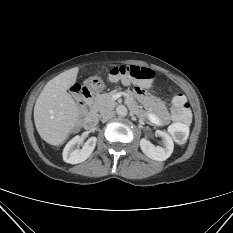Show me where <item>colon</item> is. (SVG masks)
<instances>
[{"label": "colon", "mask_w": 233, "mask_h": 233, "mask_svg": "<svg viewBox=\"0 0 233 233\" xmlns=\"http://www.w3.org/2000/svg\"><path fill=\"white\" fill-rule=\"evenodd\" d=\"M155 74L152 70L139 67V66H119L115 67L110 71L109 78L112 81H118L122 83H136L141 87H150ZM83 87L76 85L73 88L74 94L79 103L80 112H85V99L83 94ZM172 118L173 122L170 125V133L174 141L178 145H183L186 143L188 138L187 124L191 118L190 107L181 94H177L172 100Z\"/></svg>", "instance_id": "1"}]
</instances>
